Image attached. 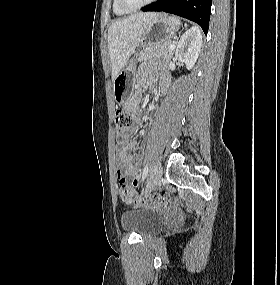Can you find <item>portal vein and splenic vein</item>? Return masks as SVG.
<instances>
[{
  "label": "portal vein and splenic vein",
  "instance_id": "18ae733b",
  "mask_svg": "<svg viewBox=\"0 0 280 285\" xmlns=\"http://www.w3.org/2000/svg\"><path fill=\"white\" fill-rule=\"evenodd\" d=\"M169 48H170L171 50H174V49H175V44H171Z\"/></svg>",
  "mask_w": 280,
  "mask_h": 285
}]
</instances>
